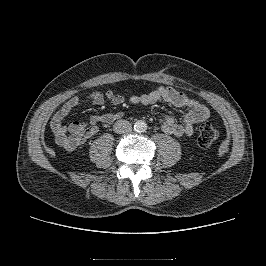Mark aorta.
Wrapping results in <instances>:
<instances>
[{
	"label": "aorta",
	"instance_id": "obj_1",
	"mask_svg": "<svg viewBox=\"0 0 266 266\" xmlns=\"http://www.w3.org/2000/svg\"><path fill=\"white\" fill-rule=\"evenodd\" d=\"M134 129L138 132H143L147 129V124L145 121L138 120L134 125Z\"/></svg>",
	"mask_w": 266,
	"mask_h": 266
}]
</instances>
